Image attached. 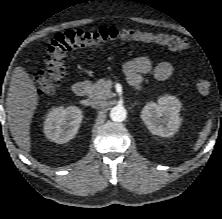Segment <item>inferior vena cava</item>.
Masks as SVG:
<instances>
[{"label": "inferior vena cava", "instance_id": "inferior-vena-cava-1", "mask_svg": "<svg viewBox=\"0 0 222 219\" xmlns=\"http://www.w3.org/2000/svg\"><path fill=\"white\" fill-rule=\"evenodd\" d=\"M89 105L92 106L93 108H102L104 105V102L98 99H90L89 100Z\"/></svg>", "mask_w": 222, "mask_h": 219}]
</instances>
